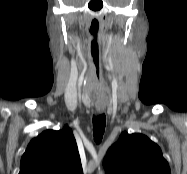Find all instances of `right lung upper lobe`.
<instances>
[{"mask_svg": "<svg viewBox=\"0 0 187 174\" xmlns=\"http://www.w3.org/2000/svg\"><path fill=\"white\" fill-rule=\"evenodd\" d=\"M19 174H83L72 130H47L33 139L21 158Z\"/></svg>", "mask_w": 187, "mask_h": 174, "instance_id": "right-lung-upper-lobe-1", "label": "right lung upper lobe"}]
</instances>
